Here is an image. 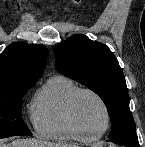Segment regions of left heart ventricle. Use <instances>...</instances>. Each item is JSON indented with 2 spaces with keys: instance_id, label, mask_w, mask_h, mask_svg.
I'll list each match as a JSON object with an SVG mask.
<instances>
[{
  "instance_id": "left-heart-ventricle-1",
  "label": "left heart ventricle",
  "mask_w": 145,
  "mask_h": 147,
  "mask_svg": "<svg viewBox=\"0 0 145 147\" xmlns=\"http://www.w3.org/2000/svg\"><path fill=\"white\" fill-rule=\"evenodd\" d=\"M77 118L88 134H96L105 126V113L100 103L90 94L79 95L75 104Z\"/></svg>"
}]
</instances>
